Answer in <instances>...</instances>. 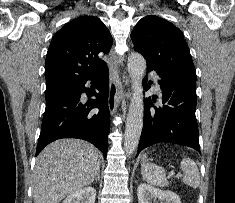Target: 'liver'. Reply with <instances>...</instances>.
I'll return each mask as SVG.
<instances>
[{
    "label": "liver",
    "mask_w": 235,
    "mask_h": 203,
    "mask_svg": "<svg viewBox=\"0 0 235 203\" xmlns=\"http://www.w3.org/2000/svg\"><path fill=\"white\" fill-rule=\"evenodd\" d=\"M101 154L79 139H60L38 155L33 175L34 203H59L90 185L99 174Z\"/></svg>",
    "instance_id": "1"
}]
</instances>
